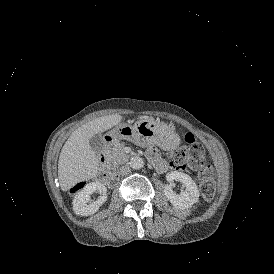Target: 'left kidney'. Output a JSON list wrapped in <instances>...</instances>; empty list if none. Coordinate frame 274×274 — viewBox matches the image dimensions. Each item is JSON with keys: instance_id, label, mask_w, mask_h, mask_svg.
Here are the masks:
<instances>
[{"instance_id": "5707ae66", "label": "left kidney", "mask_w": 274, "mask_h": 274, "mask_svg": "<svg viewBox=\"0 0 274 274\" xmlns=\"http://www.w3.org/2000/svg\"><path fill=\"white\" fill-rule=\"evenodd\" d=\"M166 180L169 184L165 185L164 194L175 208L184 210L190 208L198 201L199 190L189 175L178 171H171L166 174ZM174 181L181 182L185 187V191L176 194L172 189Z\"/></svg>"}]
</instances>
